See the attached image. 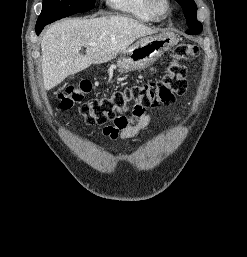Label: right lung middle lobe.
<instances>
[{
	"instance_id": "right-lung-middle-lobe-1",
	"label": "right lung middle lobe",
	"mask_w": 247,
	"mask_h": 257,
	"mask_svg": "<svg viewBox=\"0 0 247 257\" xmlns=\"http://www.w3.org/2000/svg\"><path fill=\"white\" fill-rule=\"evenodd\" d=\"M95 0H43L36 24L51 23L75 13L91 10Z\"/></svg>"
}]
</instances>
